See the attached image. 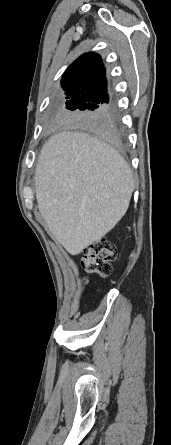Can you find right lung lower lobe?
<instances>
[{"mask_svg": "<svg viewBox=\"0 0 171 445\" xmlns=\"http://www.w3.org/2000/svg\"><path fill=\"white\" fill-rule=\"evenodd\" d=\"M107 102L110 103V106L101 116L100 125L105 136L110 140H114L117 139L118 135L116 118H115V106L113 105V101L111 102L107 101Z\"/></svg>", "mask_w": 171, "mask_h": 445, "instance_id": "right-lung-lower-lobe-1", "label": "right lung lower lobe"}]
</instances>
